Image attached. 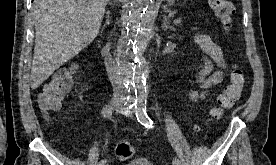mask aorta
Instances as JSON below:
<instances>
[{
	"instance_id": "762f6f07",
	"label": "aorta",
	"mask_w": 276,
	"mask_h": 165,
	"mask_svg": "<svg viewBox=\"0 0 276 165\" xmlns=\"http://www.w3.org/2000/svg\"><path fill=\"white\" fill-rule=\"evenodd\" d=\"M154 0H132L123 34L119 41L117 65L132 102L147 97V65L142 56L151 32Z\"/></svg>"
}]
</instances>
